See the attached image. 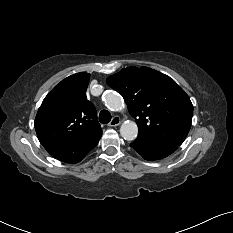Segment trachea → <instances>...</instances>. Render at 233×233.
<instances>
[{"instance_id": "1", "label": "trachea", "mask_w": 233, "mask_h": 233, "mask_svg": "<svg viewBox=\"0 0 233 233\" xmlns=\"http://www.w3.org/2000/svg\"><path fill=\"white\" fill-rule=\"evenodd\" d=\"M111 120V114L109 111L107 110H102L100 113H99V121L103 124H107L109 123Z\"/></svg>"}]
</instances>
